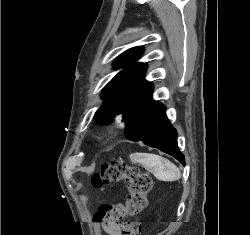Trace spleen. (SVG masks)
<instances>
[{
  "mask_svg": "<svg viewBox=\"0 0 250 235\" xmlns=\"http://www.w3.org/2000/svg\"><path fill=\"white\" fill-rule=\"evenodd\" d=\"M132 162H137L151 172L158 180L176 181L181 177L179 168L166 158L150 153L130 155Z\"/></svg>",
  "mask_w": 250,
  "mask_h": 235,
  "instance_id": "3e777b00",
  "label": "spleen"
}]
</instances>
